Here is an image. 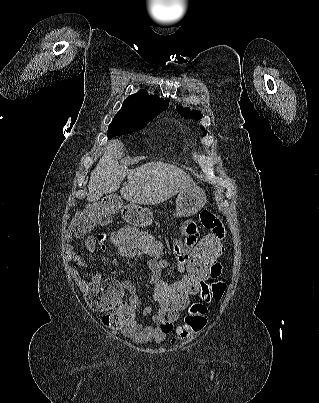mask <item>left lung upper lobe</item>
Wrapping results in <instances>:
<instances>
[{"label": "left lung upper lobe", "mask_w": 319, "mask_h": 403, "mask_svg": "<svg viewBox=\"0 0 319 403\" xmlns=\"http://www.w3.org/2000/svg\"><path fill=\"white\" fill-rule=\"evenodd\" d=\"M177 110L180 111L182 117L193 118L196 120H199L202 118V114L199 111L193 110L190 112L187 108H182L181 106H178ZM201 128L204 129L203 126Z\"/></svg>", "instance_id": "obj_1"}]
</instances>
